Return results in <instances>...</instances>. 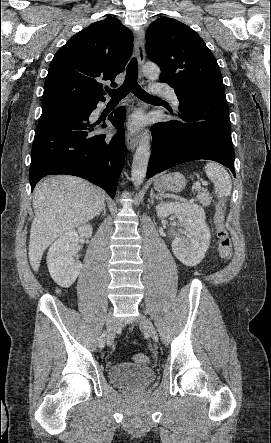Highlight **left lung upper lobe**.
I'll return each instance as SVG.
<instances>
[{
  "instance_id": "1",
  "label": "left lung upper lobe",
  "mask_w": 271,
  "mask_h": 443,
  "mask_svg": "<svg viewBox=\"0 0 271 443\" xmlns=\"http://www.w3.org/2000/svg\"><path fill=\"white\" fill-rule=\"evenodd\" d=\"M146 50L159 65L160 78L169 80L174 89L190 86L225 95L214 55L187 25L168 17L157 19L146 32Z\"/></svg>"
}]
</instances>
